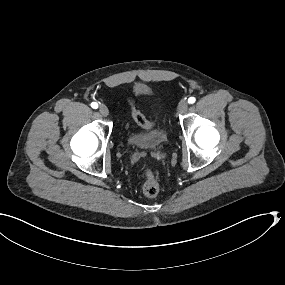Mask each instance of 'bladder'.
<instances>
[{"instance_id": "31cf9c89", "label": "bladder", "mask_w": 285, "mask_h": 285, "mask_svg": "<svg viewBox=\"0 0 285 285\" xmlns=\"http://www.w3.org/2000/svg\"><path fill=\"white\" fill-rule=\"evenodd\" d=\"M168 126L157 119L154 125L147 131L135 130L127 125L124 139L131 145L141 148H159L168 141Z\"/></svg>"}]
</instances>
